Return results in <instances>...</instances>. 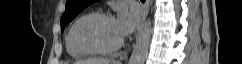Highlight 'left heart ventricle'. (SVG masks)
I'll return each instance as SVG.
<instances>
[{
  "mask_svg": "<svg viewBox=\"0 0 242 64\" xmlns=\"http://www.w3.org/2000/svg\"><path fill=\"white\" fill-rule=\"evenodd\" d=\"M79 40L90 47L108 48L117 44L119 36L114 19H93L83 24L78 31Z\"/></svg>",
  "mask_w": 242,
  "mask_h": 64,
  "instance_id": "1",
  "label": "left heart ventricle"
}]
</instances>
